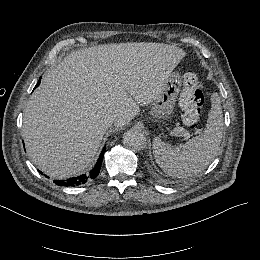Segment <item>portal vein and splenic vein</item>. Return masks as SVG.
I'll list each match as a JSON object with an SVG mask.
<instances>
[{"label": "portal vein and splenic vein", "mask_w": 260, "mask_h": 260, "mask_svg": "<svg viewBox=\"0 0 260 260\" xmlns=\"http://www.w3.org/2000/svg\"><path fill=\"white\" fill-rule=\"evenodd\" d=\"M176 133L179 137L183 136L185 139L190 137L189 131L181 126L176 128Z\"/></svg>", "instance_id": "1"}]
</instances>
